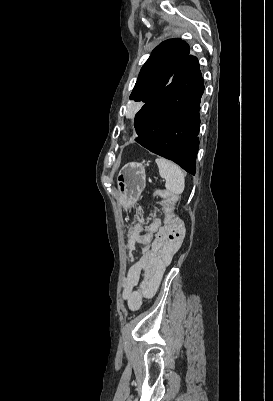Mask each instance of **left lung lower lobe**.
I'll return each mask as SVG.
<instances>
[{
  "mask_svg": "<svg viewBox=\"0 0 273 401\" xmlns=\"http://www.w3.org/2000/svg\"><path fill=\"white\" fill-rule=\"evenodd\" d=\"M203 78L196 57L188 55L169 84L135 116L136 141L195 175L199 148Z\"/></svg>",
  "mask_w": 273,
  "mask_h": 401,
  "instance_id": "left-lung-lower-lobe-1",
  "label": "left lung lower lobe"
}]
</instances>
